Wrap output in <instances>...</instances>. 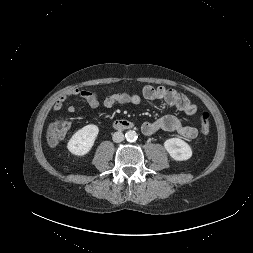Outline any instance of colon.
<instances>
[{
  "label": "colon",
  "mask_w": 253,
  "mask_h": 253,
  "mask_svg": "<svg viewBox=\"0 0 253 253\" xmlns=\"http://www.w3.org/2000/svg\"><path fill=\"white\" fill-rule=\"evenodd\" d=\"M209 113L203 112L200 115L201 130L204 135H208L210 131ZM70 128V124L67 120H58L52 123L47 132V138L51 145L58 144L66 135Z\"/></svg>",
  "instance_id": "5ec220e1"
}]
</instances>
